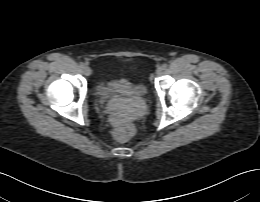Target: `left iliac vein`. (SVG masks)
I'll list each match as a JSON object with an SVG mask.
<instances>
[{"label": "left iliac vein", "instance_id": "obj_1", "mask_svg": "<svg viewBox=\"0 0 260 202\" xmlns=\"http://www.w3.org/2000/svg\"><path fill=\"white\" fill-rule=\"evenodd\" d=\"M163 72H164V69L162 68V66H160L156 69L157 76H161L163 74Z\"/></svg>", "mask_w": 260, "mask_h": 202}]
</instances>
